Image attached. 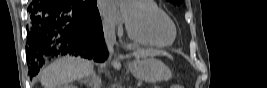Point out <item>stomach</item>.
<instances>
[{
  "instance_id": "stomach-1",
  "label": "stomach",
  "mask_w": 267,
  "mask_h": 88,
  "mask_svg": "<svg viewBox=\"0 0 267 88\" xmlns=\"http://www.w3.org/2000/svg\"><path fill=\"white\" fill-rule=\"evenodd\" d=\"M129 69L137 79L150 83L166 81L171 77L170 69L153 57L133 61L129 64Z\"/></svg>"
}]
</instances>
